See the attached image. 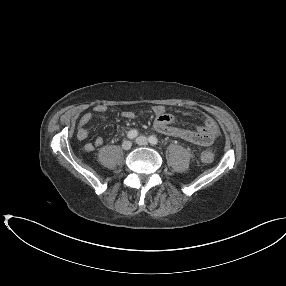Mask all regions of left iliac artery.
<instances>
[{
	"label": "left iliac artery",
	"mask_w": 286,
	"mask_h": 286,
	"mask_svg": "<svg viewBox=\"0 0 286 286\" xmlns=\"http://www.w3.org/2000/svg\"><path fill=\"white\" fill-rule=\"evenodd\" d=\"M149 142L152 145H157L158 144V139L155 136L152 135V136L149 137Z\"/></svg>",
	"instance_id": "44dca946"
}]
</instances>
